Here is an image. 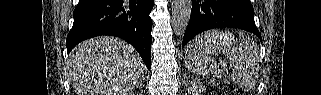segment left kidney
Returning <instances> with one entry per match:
<instances>
[{
    "instance_id": "left-kidney-1",
    "label": "left kidney",
    "mask_w": 321,
    "mask_h": 95,
    "mask_svg": "<svg viewBox=\"0 0 321 95\" xmlns=\"http://www.w3.org/2000/svg\"><path fill=\"white\" fill-rule=\"evenodd\" d=\"M191 90H192V95H200L201 92H203L205 89L203 87L195 86L191 88Z\"/></svg>"
}]
</instances>
